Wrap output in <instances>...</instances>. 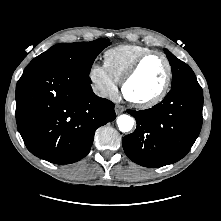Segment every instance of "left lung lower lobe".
<instances>
[{"instance_id":"obj_1","label":"left lung lower lobe","mask_w":221,"mask_h":221,"mask_svg":"<svg viewBox=\"0 0 221 221\" xmlns=\"http://www.w3.org/2000/svg\"><path fill=\"white\" fill-rule=\"evenodd\" d=\"M203 92L197 79L173 86L151 109L128 110L136 130L123 138L126 155L135 163L158 168L182 159L202 126Z\"/></svg>"}]
</instances>
